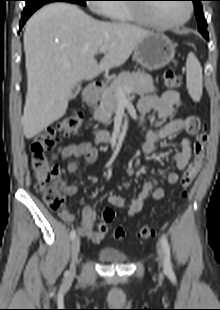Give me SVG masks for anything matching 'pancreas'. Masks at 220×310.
Masks as SVG:
<instances>
[{
    "label": "pancreas",
    "mask_w": 220,
    "mask_h": 310,
    "mask_svg": "<svg viewBox=\"0 0 220 310\" xmlns=\"http://www.w3.org/2000/svg\"><path fill=\"white\" fill-rule=\"evenodd\" d=\"M131 88L130 92H124V96L131 94L144 95L154 92L153 79L145 72L122 73L106 87L100 98V105L94 110V119L106 125L111 123V116L118 106L117 91L119 88Z\"/></svg>",
    "instance_id": "pancreas-1"
}]
</instances>
